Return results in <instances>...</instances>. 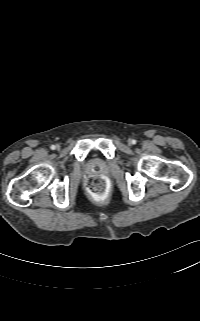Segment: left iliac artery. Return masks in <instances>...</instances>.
I'll return each instance as SVG.
<instances>
[{
	"label": "left iliac artery",
	"mask_w": 200,
	"mask_h": 321,
	"mask_svg": "<svg viewBox=\"0 0 200 321\" xmlns=\"http://www.w3.org/2000/svg\"><path fill=\"white\" fill-rule=\"evenodd\" d=\"M132 144H136V140H132Z\"/></svg>",
	"instance_id": "44dca946"
}]
</instances>
